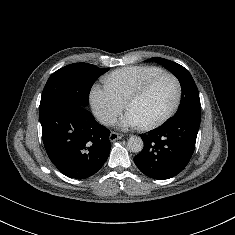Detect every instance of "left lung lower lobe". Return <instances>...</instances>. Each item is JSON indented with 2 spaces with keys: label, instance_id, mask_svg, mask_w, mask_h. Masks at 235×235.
<instances>
[{
  "label": "left lung lower lobe",
  "instance_id": "0a47b994",
  "mask_svg": "<svg viewBox=\"0 0 235 235\" xmlns=\"http://www.w3.org/2000/svg\"><path fill=\"white\" fill-rule=\"evenodd\" d=\"M200 117L188 114L173 118L159 129L141 135L144 147L134 157L140 171L161 180L180 173L194 152Z\"/></svg>",
  "mask_w": 235,
  "mask_h": 235
}]
</instances>
